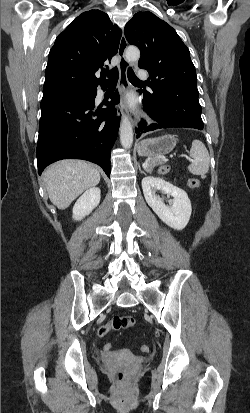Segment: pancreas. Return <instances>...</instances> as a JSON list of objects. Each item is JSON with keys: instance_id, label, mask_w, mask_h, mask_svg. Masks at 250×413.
I'll use <instances>...</instances> for the list:
<instances>
[{"instance_id": "pancreas-1", "label": "pancreas", "mask_w": 250, "mask_h": 413, "mask_svg": "<svg viewBox=\"0 0 250 413\" xmlns=\"http://www.w3.org/2000/svg\"><path fill=\"white\" fill-rule=\"evenodd\" d=\"M161 163H162V161L160 159H152L148 164V168H147L148 172H152L153 168L156 165L161 164ZM162 169H164V172H162ZM167 172H168V170H167L166 167H161L160 170H159L160 174H166Z\"/></svg>"}]
</instances>
